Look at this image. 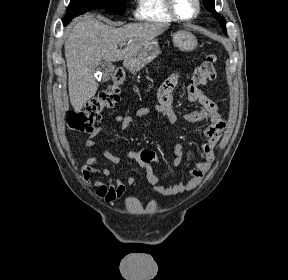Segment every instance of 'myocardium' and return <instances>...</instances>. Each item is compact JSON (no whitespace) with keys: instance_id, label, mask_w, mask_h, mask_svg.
I'll return each instance as SVG.
<instances>
[{"instance_id":"obj_1","label":"myocardium","mask_w":288,"mask_h":280,"mask_svg":"<svg viewBox=\"0 0 288 280\" xmlns=\"http://www.w3.org/2000/svg\"><path fill=\"white\" fill-rule=\"evenodd\" d=\"M165 1H166V6H167V9H168L170 15L177 21L191 22V21L195 20L201 12V0H195L196 11L189 18H183L178 14L176 7H175V0H165Z\"/></svg>"}]
</instances>
